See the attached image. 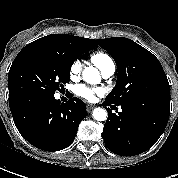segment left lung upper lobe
Instances as JSON below:
<instances>
[{"mask_svg":"<svg viewBox=\"0 0 178 178\" xmlns=\"http://www.w3.org/2000/svg\"><path fill=\"white\" fill-rule=\"evenodd\" d=\"M98 45L115 60L116 86L106 100L132 104L169 114L170 85L159 60L147 49L124 37L98 39Z\"/></svg>","mask_w":178,"mask_h":178,"instance_id":"left-lung-upper-lobe-1","label":"left lung upper lobe"}]
</instances>
